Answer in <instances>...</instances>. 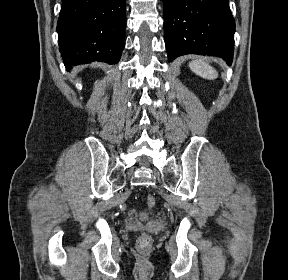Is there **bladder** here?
Returning a JSON list of instances; mask_svg holds the SVG:
<instances>
[{
  "mask_svg": "<svg viewBox=\"0 0 288 280\" xmlns=\"http://www.w3.org/2000/svg\"><path fill=\"white\" fill-rule=\"evenodd\" d=\"M139 218L142 219V220L148 219L149 218V214L146 213V212H142V213H140Z\"/></svg>",
  "mask_w": 288,
  "mask_h": 280,
  "instance_id": "1",
  "label": "bladder"
}]
</instances>
